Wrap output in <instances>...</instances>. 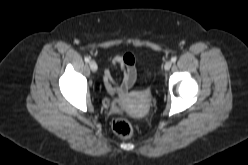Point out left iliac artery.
Wrapping results in <instances>:
<instances>
[{
    "mask_svg": "<svg viewBox=\"0 0 248 165\" xmlns=\"http://www.w3.org/2000/svg\"><path fill=\"white\" fill-rule=\"evenodd\" d=\"M176 60H177L176 57H172V58H171V61H172V62H176Z\"/></svg>",
    "mask_w": 248,
    "mask_h": 165,
    "instance_id": "44dca946",
    "label": "left iliac artery"
}]
</instances>
